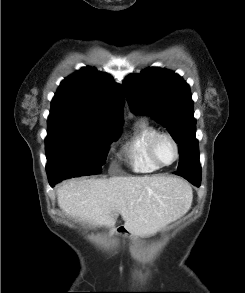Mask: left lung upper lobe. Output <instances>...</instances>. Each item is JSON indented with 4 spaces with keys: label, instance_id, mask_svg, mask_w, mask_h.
I'll use <instances>...</instances> for the list:
<instances>
[{
    "label": "left lung upper lobe",
    "instance_id": "left-lung-upper-lobe-1",
    "mask_svg": "<svg viewBox=\"0 0 245 293\" xmlns=\"http://www.w3.org/2000/svg\"><path fill=\"white\" fill-rule=\"evenodd\" d=\"M123 89L133 112L152 115L179 143L178 170L201 174L189 85L172 71L148 68L127 76Z\"/></svg>",
    "mask_w": 245,
    "mask_h": 293
}]
</instances>
